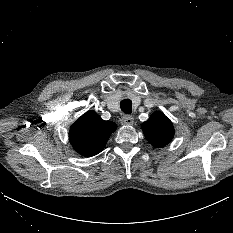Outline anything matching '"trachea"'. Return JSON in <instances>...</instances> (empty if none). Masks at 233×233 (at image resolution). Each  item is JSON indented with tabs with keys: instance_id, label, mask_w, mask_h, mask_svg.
<instances>
[{
	"instance_id": "trachea-1",
	"label": "trachea",
	"mask_w": 233,
	"mask_h": 233,
	"mask_svg": "<svg viewBox=\"0 0 233 233\" xmlns=\"http://www.w3.org/2000/svg\"><path fill=\"white\" fill-rule=\"evenodd\" d=\"M121 110L126 114H131L132 112V101L130 99H124L120 102Z\"/></svg>"
}]
</instances>
